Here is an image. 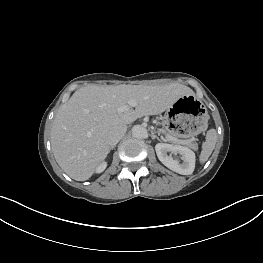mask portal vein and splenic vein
<instances>
[{
    "mask_svg": "<svg viewBox=\"0 0 263 263\" xmlns=\"http://www.w3.org/2000/svg\"><path fill=\"white\" fill-rule=\"evenodd\" d=\"M136 106V102L134 101H130L128 105H124V106H121L118 108V111L119 112H124V111H127L128 109H130V107H135ZM168 139L169 140H172L174 139L173 137L171 136H168Z\"/></svg>",
    "mask_w": 263,
    "mask_h": 263,
    "instance_id": "18ae733b",
    "label": "portal vein and splenic vein"
}]
</instances>
